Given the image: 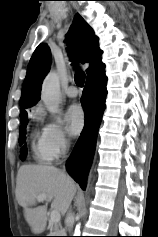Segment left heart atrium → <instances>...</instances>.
<instances>
[{
	"instance_id": "obj_1",
	"label": "left heart atrium",
	"mask_w": 158,
	"mask_h": 237,
	"mask_svg": "<svg viewBox=\"0 0 158 237\" xmlns=\"http://www.w3.org/2000/svg\"><path fill=\"white\" fill-rule=\"evenodd\" d=\"M68 130L72 135H78L85 125L83 109L78 104L71 105L66 111Z\"/></svg>"
}]
</instances>
